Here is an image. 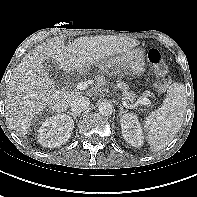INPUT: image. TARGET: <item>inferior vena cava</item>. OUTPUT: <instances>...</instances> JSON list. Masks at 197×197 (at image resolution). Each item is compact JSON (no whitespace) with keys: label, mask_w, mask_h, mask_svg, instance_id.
Masks as SVG:
<instances>
[{"label":"inferior vena cava","mask_w":197,"mask_h":197,"mask_svg":"<svg viewBox=\"0 0 197 197\" xmlns=\"http://www.w3.org/2000/svg\"><path fill=\"white\" fill-rule=\"evenodd\" d=\"M89 105V98L82 95L75 96L70 102L71 111L77 115H80L81 112L85 111Z\"/></svg>","instance_id":"602c4592"}]
</instances>
